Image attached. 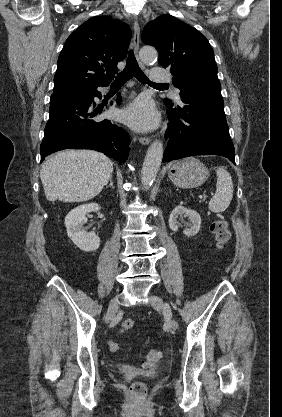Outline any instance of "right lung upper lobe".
Masks as SVG:
<instances>
[{
  "label": "right lung upper lobe",
  "mask_w": 282,
  "mask_h": 417,
  "mask_svg": "<svg viewBox=\"0 0 282 417\" xmlns=\"http://www.w3.org/2000/svg\"><path fill=\"white\" fill-rule=\"evenodd\" d=\"M131 30L123 22L95 16L66 40L58 58L53 94L109 84L127 54Z\"/></svg>",
  "instance_id": "right-lung-upper-lobe-1"
}]
</instances>
